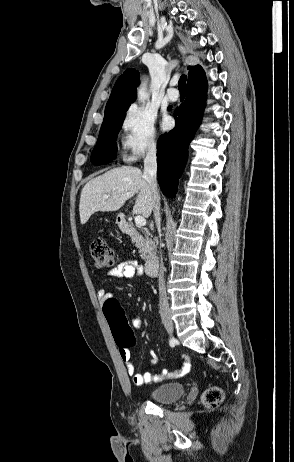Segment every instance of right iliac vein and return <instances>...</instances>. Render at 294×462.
Listing matches in <instances>:
<instances>
[{"label":"right iliac vein","mask_w":294,"mask_h":462,"mask_svg":"<svg viewBox=\"0 0 294 462\" xmlns=\"http://www.w3.org/2000/svg\"><path fill=\"white\" fill-rule=\"evenodd\" d=\"M162 322L166 328V330L172 334L174 331V324L173 321L171 320V317L169 315H164L162 316Z\"/></svg>","instance_id":"1"}]
</instances>
